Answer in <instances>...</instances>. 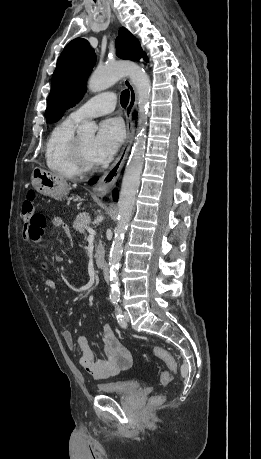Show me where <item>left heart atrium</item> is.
Wrapping results in <instances>:
<instances>
[{
  "mask_svg": "<svg viewBox=\"0 0 261 459\" xmlns=\"http://www.w3.org/2000/svg\"><path fill=\"white\" fill-rule=\"evenodd\" d=\"M125 138V131L119 119L102 121L93 141L91 158L95 163L109 162L120 148Z\"/></svg>",
  "mask_w": 261,
  "mask_h": 459,
  "instance_id": "1",
  "label": "left heart atrium"
}]
</instances>
